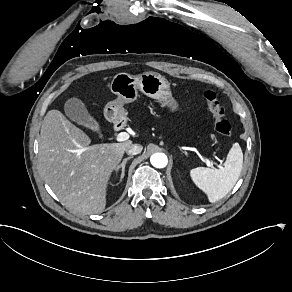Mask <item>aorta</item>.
<instances>
[{"label": "aorta", "instance_id": "762f6f07", "mask_svg": "<svg viewBox=\"0 0 292 292\" xmlns=\"http://www.w3.org/2000/svg\"><path fill=\"white\" fill-rule=\"evenodd\" d=\"M151 164L156 168H164L167 163L168 159L164 153H156L153 154L150 158Z\"/></svg>", "mask_w": 292, "mask_h": 292}]
</instances>
